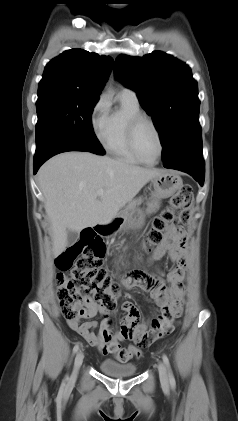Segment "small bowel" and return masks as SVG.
<instances>
[{
	"instance_id": "small-bowel-1",
	"label": "small bowel",
	"mask_w": 238,
	"mask_h": 421,
	"mask_svg": "<svg viewBox=\"0 0 238 421\" xmlns=\"http://www.w3.org/2000/svg\"><path fill=\"white\" fill-rule=\"evenodd\" d=\"M157 209L151 205L149 212ZM167 257L174 267L167 273L152 275L144 271L135 270L125 278L128 287H137L149 293L161 311V315L152 321L150 329L141 322V314L135 303L125 301L122 309L126 312L118 331L113 332L108 320L84 321L97 314H105L109 310L93 301L85 303L84 314L76 320H68L69 327L81 335L87 343L96 347L102 354H113L120 347V342L131 340L138 346L146 347L154 341H149L161 325L179 313L185 295V272L187 267L186 235L177 228L167 232L166 240L155 250L152 259L159 260Z\"/></svg>"
}]
</instances>
